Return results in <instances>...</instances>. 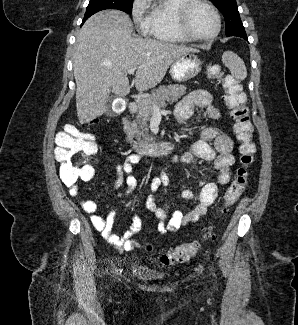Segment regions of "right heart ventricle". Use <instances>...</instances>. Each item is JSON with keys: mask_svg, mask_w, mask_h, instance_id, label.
<instances>
[{"mask_svg": "<svg viewBox=\"0 0 298 325\" xmlns=\"http://www.w3.org/2000/svg\"><path fill=\"white\" fill-rule=\"evenodd\" d=\"M179 0H161L152 3L150 13V24L154 25L161 33L160 41H178L185 44L189 40L178 35L173 29L174 5Z\"/></svg>", "mask_w": 298, "mask_h": 325, "instance_id": "e07e8e85", "label": "right heart ventricle"}]
</instances>
